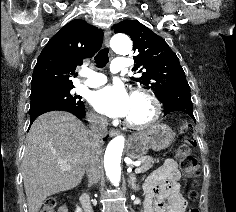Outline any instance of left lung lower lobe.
Instances as JSON below:
<instances>
[{"mask_svg": "<svg viewBox=\"0 0 236 212\" xmlns=\"http://www.w3.org/2000/svg\"><path fill=\"white\" fill-rule=\"evenodd\" d=\"M160 102L164 105V115L174 111H181L187 113L195 121L188 83L168 90Z\"/></svg>", "mask_w": 236, "mask_h": 212, "instance_id": "1", "label": "left lung lower lobe"}]
</instances>
